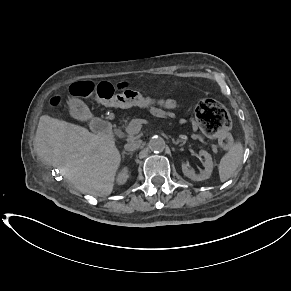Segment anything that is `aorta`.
<instances>
[{
	"instance_id": "762f6f07",
	"label": "aorta",
	"mask_w": 291,
	"mask_h": 291,
	"mask_svg": "<svg viewBox=\"0 0 291 291\" xmlns=\"http://www.w3.org/2000/svg\"><path fill=\"white\" fill-rule=\"evenodd\" d=\"M149 148L154 152H161L165 148V141L161 137H153L149 141Z\"/></svg>"
}]
</instances>
